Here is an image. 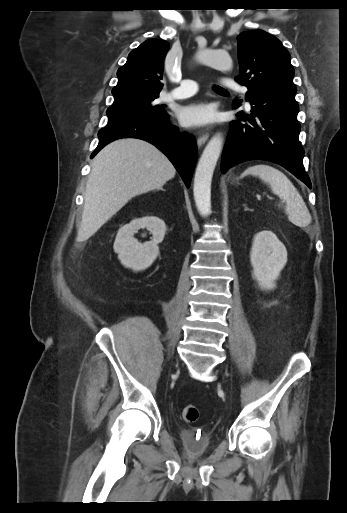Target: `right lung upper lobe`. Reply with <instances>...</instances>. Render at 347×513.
<instances>
[{
    "label": "right lung upper lobe",
    "instance_id": "cb5924a9",
    "mask_svg": "<svg viewBox=\"0 0 347 513\" xmlns=\"http://www.w3.org/2000/svg\"><path fill=\"white\" fill-rule=\"evenodd\" d=\"M168 50L167 41L150 39L131 51L127 62L117 71L118 83L112 89L114 103L159 96L163 87V60Z\"/></svg>",
    "mask_w": 347,
    "mask_h": 513
}]
</instances>
